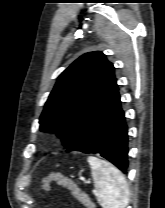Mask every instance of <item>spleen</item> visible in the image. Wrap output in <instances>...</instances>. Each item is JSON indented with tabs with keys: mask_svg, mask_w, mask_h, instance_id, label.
<instances>
[{
	"mask_svg": "<svg viewBox=\"0 0 165 208\" xmlns=\"http://www.w3.org/2000/svg\"><path fill=\"white\" fill-rule=\"evenodd\" d=\"M91 166L96 197L103 208H125L129 189L124 175L112 164L97 157L87 159Z\"/></svg>",
	"mask_w": 165,
	"mask_h": 208,
	"instance_id": "obj_1",
	"label": "spleen"
}]
</instances>
